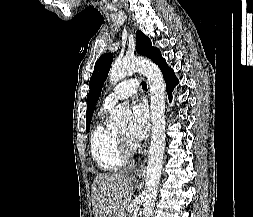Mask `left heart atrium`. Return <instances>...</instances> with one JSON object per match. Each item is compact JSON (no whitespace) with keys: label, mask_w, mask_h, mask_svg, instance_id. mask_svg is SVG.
I'll return each instance as SVG.
<instances>
[{"label":"left heart atrium","mask_w":253,"mask_h":217,"mask_svg":"<svg viewBox=\"0 0 253 217\" xmlns=\"http://www.w3.org/2000/svg\"><path fill=\"white\" fill-rule=\"evenodd\" d=\"M150 129L149 114L143 103H135L132 107V117L129 126L128 135L130 139L139 143L144 140Z\"/></svg>","instance_id":"left-heart-atrium-1"}]
</instances>
